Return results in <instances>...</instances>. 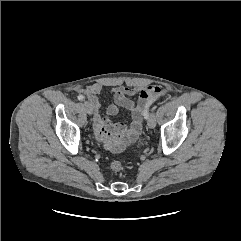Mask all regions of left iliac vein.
Segmentation results:
<instances>
[{"mask_svg": "<svg viewBox=\"0 0 241 241\" xmlns=\"http://www.w3.org/2000/svg\"><path fill=\"white\" fill-rule=\"evenodd\" d=\"M147 124L149 126V128H154L156 126V118L154 113H151L148 120H147Z\"/></svg>", "mask_w": 241, "mask_h": 241, "instance_id": "4c4485c4", "label": "left iliac vein"}]
</instances>
